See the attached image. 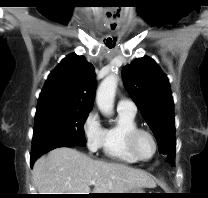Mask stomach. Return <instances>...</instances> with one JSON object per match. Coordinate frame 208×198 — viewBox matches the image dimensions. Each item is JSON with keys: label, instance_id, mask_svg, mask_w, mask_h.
<instances>
[{"label": "stomach", "instance_id": "stomach-1", "mask_svg": "<svg viewBox=\"0 0 208 198\" xmlns=\"http://www.w3.org/2000/svg\"><path fill=\"white\" fill-rule=\"evenodd\" d=\"M145 193L142 189L137 188L131 191L125 192V194L121 195L122 198H141L142 194Z\"/></svg>", "mask_w": 208, "mask_h": 198}]
</instances>
